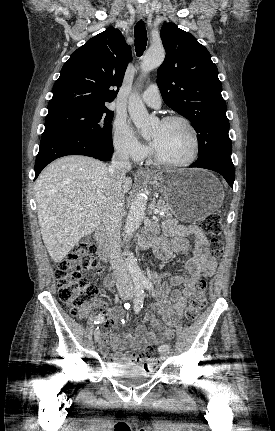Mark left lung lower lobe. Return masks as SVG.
Wrapping results in <instances>:
<instances>
[{"instance_id": "left-lung-lower-lobe-1", "label": "left lung lower lobe", "mask_w": 275, "mask_h": 431, "mask_svg": "<svg viewBox=\"0 0 275 431\" xmlns=\"http://www.w3.org/2000/svg\"><path fill=\"white\" fill-rule=\"evenodd\" d=\"M190 167H200L210 169L220 173L228 184L233 188L235 179V168L230 156L226 157H213L203 161H196Z\"/></svg>"}]
</instances>
